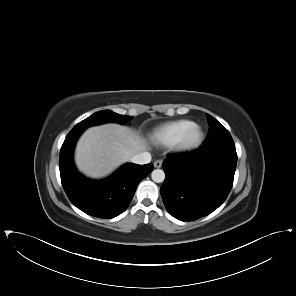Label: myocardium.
I'll list each match as a JSON object with an SVG mask.
<instances>
[{
	"label": "myocardium",
	"instance_id": "myocardium-1",
	"mask_svg": "<svg viewBox=\"0 0 296 296\" xmlns=\"http://www.w3.org/2000/svg\"><path fill=\"white\" fill-rule=\"evenodd\" d=\"M192 132H195L196 136L193 140H190L189 137ZM203 137L204 132L202 127L198 124L193 123L174 142V144L172 145L173 149L178 152H191L201 145Z\"/></svg>",
	"mask_w": 296,
	"mask_h": 296
}]
</instances>
